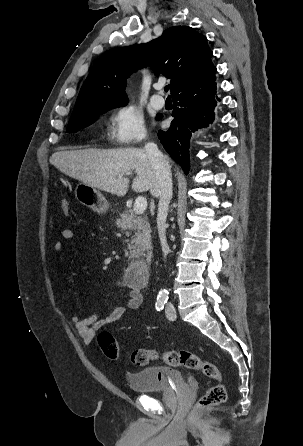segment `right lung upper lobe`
I'll use <instances>...</instances> for the list:
<instances>
[{
	"label": "right lung upper lobe",
	"mask_w": 303,
	"mask_h": 446,
	"mask_svg": "<svg viewBox=\"0 0 303 446\" xmlns=\"http://www.w3.org/2000/svg\"><path fill=\"white\" fill-rule=\"evenodd\" d=\"M206 37L188 26H174L146 44L117 47L103 53L82 86L72 115L101 106L127 103L125 83L143 65L170 81L171 94L215 75Z\"/></svg>",
	"instance_id": "obj_1"
}]
</instances>
